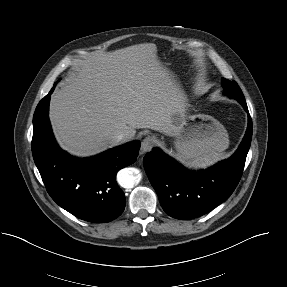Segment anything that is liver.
<instances>
[{"label":"liver","mask_w":287,"mask_h":287,"mask_svg":"<svg viewBox=\"0 0 287 287\" xmlns=\"http://www.w3.org/2000/svg\"><path fill=\"white\" fill-rule=\"evenodd\" d=\"M153 43L92 54L74 64L50 101L49 117L59 145L90 156L131 140L139 128L173 136L184 118L187 96L157 57Z\"/></svg>","instance_id":"6515ba94"}]
</instances>
